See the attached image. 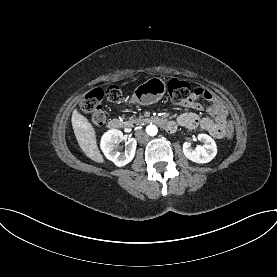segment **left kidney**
I'll return each mask as SVG.
<instances>
[{"label": "left kidney", "mask_w": 277, "mask_h": 277, "mask_svg": "<svg viewBox=\"0 0 277 277\" xmlns=\"http://www.w3.org/2000/svg\"><path fill=\"white\" fill-rule=\"evenodd\" d=\"M198 140L203 142V145H197L192 148L191 143L183 144V153L185 157L195 163H208L217 154V146L215 141L207 134H199Z\"/></svg>", "instance_id": "left-kidney-1"}]
</instances>
